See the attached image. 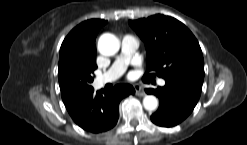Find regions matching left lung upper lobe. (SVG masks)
Segmentation results:
<instances>
[{"label":"left lung upper lobe","mask_w":247,"mask_h":145,"mask_svg":"<svg viewBox=\"0 0 247 145\" xmlns=\"http://www.w3.org/2000/svg\"><path fill=\"white\" fill-rule=\"evenodd\" d=\"M130 26L145 42L147 68L159 77L182 78L203 84L204 60L197 39L180 21L164 15L129 21ZM154 74L145 73L148 82Z\"/></svg>","instance_id":"obj_1"}]
</instances>
